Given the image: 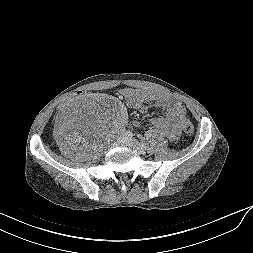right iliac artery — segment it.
I'll list each match as a JSON object with an SVG mask.
<instances>
[{"label": "right iliac artery", "mask_w": 253, "mask_h": 253, "mask_svg": "<svg viewBox=\"0 0 253 253\" xmlns=\"http://www.w3.org/2000/svg\"><path fill=\"white\" fill-rule=\"evenodd\" d=\"M124 136H125L126 138H131V137L133 136V134H132V132L127 131V132H125Z\"/></svg>", "instance_id": "right-iliac-artery-1"}]
</instances>
